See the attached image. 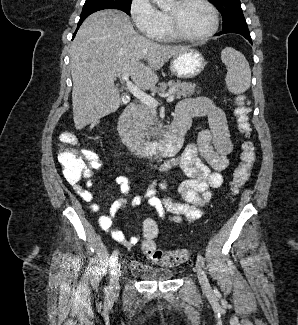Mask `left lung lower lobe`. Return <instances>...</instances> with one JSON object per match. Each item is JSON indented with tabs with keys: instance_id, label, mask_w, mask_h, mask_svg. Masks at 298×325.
I'll use <instances>...</instances> for the list:
<instances>
[{
	"instance_id": "obj_1",
	"label": "left lung lower lobe",
	"mask_w": 298,
	"mask_h": 325,
	"mask_svg": "<svg viewBox=\"0 0 298 325\" xmlns=\"http://www.w3.org/2000/svg\"><path fill=\"white\" fill-rule=\"evenodd\" d=\"M226 33H237L244 36L250 43H252V39L250 36V32L245 20L234 22L226 27L222 28V31L217 35L226 34Z\"/></svg>"
}]
</instances>
